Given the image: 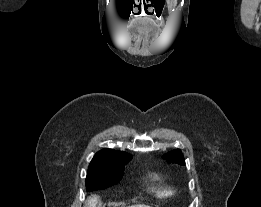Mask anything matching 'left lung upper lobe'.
<instances>
[{
    "label": "left lung upper lobe",
    "instance_id": "obj_1",
    "mask_svg": "<svg viewBox=\"0 0 261 207\" xmlns=\"http://www.w3.org/2000/svg\"><path fill=\"white\" fill-rule=\"evenodd\" d=\"M164 159L168 160L172 163H177L180 165H184V157L179 149L169 152L168 154L164 155Z\"/></svg>",
    "mask_w": 261,
    "mask_h": 207
}]
</instances>
